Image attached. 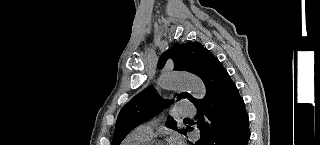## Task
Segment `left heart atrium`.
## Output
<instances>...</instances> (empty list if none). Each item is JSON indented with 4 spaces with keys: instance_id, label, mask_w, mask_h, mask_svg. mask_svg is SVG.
Returning a JSON list of instances; mask_svg holds the SVG:
<instances>
[{
    "instance_id": "39dd6f15",
    "label": "left heart atrium",
    "mask_w": 320,
    "mask_h": 145,
    "mask_svg": "<svg viewBox=\"0 0 320 145\" xmlns=\"http://www.w3.org/2000/svg\"><path fill=\"white\" fill-rule=\"evenodd\" d=\"M171 145H182L181 139L178 136H174L171 139Z\"/></svg>"
}]
</instances>
